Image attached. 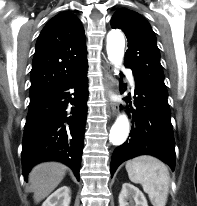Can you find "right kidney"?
Masks as SVG:
<instances>
[{
	"label": "right kidney",
	"mask_w": 197,
	"mask_h": 206,
	"mask_svg": "<svg viewBox=\"0 0 197 206\" xmlns=\"http://www.w3.org/2000/svg\"><path fill=\"white\" fill-rule=\"evenodd\" d=\"M70 200V188L63 186L52 193L42 206H69Z\"/></svg>",
	"instance_id": "1"
}]
</instances>
